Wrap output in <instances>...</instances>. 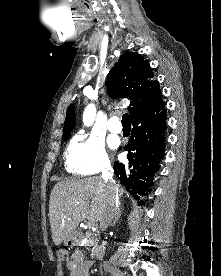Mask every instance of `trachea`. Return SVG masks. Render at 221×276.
<instances>
[{"mask_svg": "<svg viewBox=\"0 0 221 276\" xmlns=\"http://www.w3.org/2000/svg\"><path fill=\"white\" fill-rule=\"evenodd\" d=\"M122 124H123V125H130V124H131L129 114L125 113V114L122 116Z\"/></svg>", "mask_w": 221, "mask_h": 276, "instance_id": "3493384b", "label": "trachea"}]
</instances>
